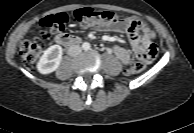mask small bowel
<instances>
[{
    "instance_id": "obj_1",
    "label": "small bowel",
    "mask_w": 194,
    "mask_h": 133,
    "mask_svg": "<svg viewBox=\"0 0 194 133\" xmlns=\"http://www.w3.org/2000/svg\"><path fill=\"white\" fill-rule=\"evenodd\" d=\"M97 29L127 34L131 47L138 59L141 54H156V45L154 43L156 34L151 26L139 17H126L112 25L97 26ZM112 51L122 64L130 65L132 63L131 55L126 49L116 45L112 48Z\"/></svg>"
}]
</instances>
